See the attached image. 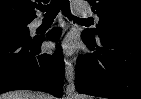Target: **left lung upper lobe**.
I'll return each mask as SVG.
<instances>
[{
  "instance_id": "obj_1",
  "label": "left lung upper lobe",
  "mask_w": 141,
  "mask_h": 99,
  "mask_svg": "<svg viewBox=\"0 0 141 99\" xmlns=\"http://www.w3.org/2000/svg\"><path fill=\"white\" fill-rule=\"evenodd\" d=\"M100 21L96 29L84 30L91 40L103 33L141 35L140 0H88Z\"/></svg>"
}]
</instances>
